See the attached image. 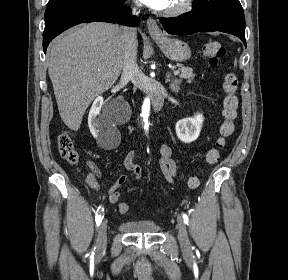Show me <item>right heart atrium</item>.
Returning <instances> with one entry per match:
<instances>
[{"label":"right heart atrium","mask_w":288,"mask_h":280,"mask_svg":"<svg viewBox=\"0 0 288 280\" xmlns=\"http://www.w3.org/2000/svg\"><path fill=\"white\" fill-rule=\"evenodd\" d=\"M132 1V6L133 7H138L139 6V2H140V0H131Z\"/></svg>","instance_id":"right-heart-atrium-1"}]
</instances>
